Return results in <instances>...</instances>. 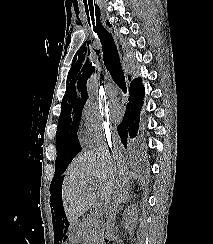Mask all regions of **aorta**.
I'll return each mask as SVG.
<instances>
[{"label":"aorta","mask_w":213,"mask_h":244,"mask_svg":"<svg viewBox=\"0 0 213 244\" xmlns=\"http://www.w3.org/2000/svg\"><path fill=\"white\" fill-rule=\"evenodd\" d=\"M96 89V75H92L87 83V90L90 95H93L95 93Z\"/></svg>","instance_id":"obj_1"}]
</instances>
